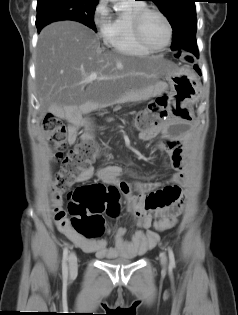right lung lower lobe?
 I'll use <instances>...</instances> for the list:
<instances>
[{
  "instance_id": "obj_1",
  "label": "right lung lower lobe",
  "mask_w": 238,
  "mask_h": 315,
  "mask_svg": "<svg viewBox=\"0 0 238 315\" xmlns=\"http://www.w3.org/2000/svg\"><path fill=\"white\" fill-rule=\"evenodd\" d=\"M42 29V28H41ZM41 29H38V32H40Z\"/></svg>"
}]
</instances>
